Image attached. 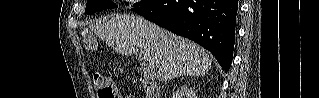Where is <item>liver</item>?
<instances>
[{
	"instance_id": "1",
	"label": "liver",
	"mask_w": 319,
	"mask_h": 98,
	"mask_svg": "<svg viewBox=\"0 0 319 98\" xmlns=\"http://www.w3.org/2000/svg\"><path fill=\"white\" fill-rule=\"evenodd\" d=\"M90 29L120 54L147 50L162 82L181 76H204L211 69L212 61L203 48L139 16L116 14L91 24Z\"/></svg>"
}]
</instances>
